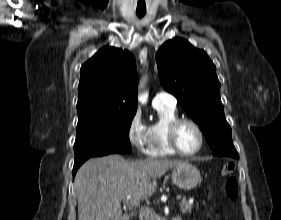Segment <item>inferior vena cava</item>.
<instances>
[{"label": "inferior vena cava", "mask_w": 281, "mask_h": 220, "mask_svg": "<svg viewBox=\"0 0 281 220\" xmlns=\"http://www.w3.org/2000/svg\"><path fill=\"white\" fill-rule=\"evenodd\" d=\"M139 219L140 220H156L155 213L149 207V204L147 206L141 207Z\"/></svg>", "instance_id": "inferior-vena-cava-1"}]
</instances>
